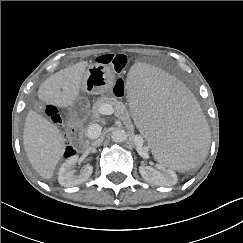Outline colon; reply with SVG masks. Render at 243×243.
Instances as JSON below:
<instances>
[{
    "label": "colon",
    "mask_w": 243,
    "mask_h": 243,
    "mask_svg": "<svg viewBox=\"0 0 243 243\" xmlns=\"http://www.w3.org/2000/svg\"><path fill=\"white\" fill-rule=\"evenodd\" d=\"M97 64L101 66L111 67L116 73H120L124 70L127 65L128 58L126 55L118 54H105L101 55L96 59ZM113 92L117 97L124 96L125 94V85L122 79H117L113 88ZM43 112L48 115V117L57 125H60L62 122L61 115L58 109L51 105L46 104L43 107ZM78 147L77 140L73 137H69L64 149L63 156L68 158L75 154V150Z\"/></svg>",
    "instance_id": "obj_1"
}]
</instances>
